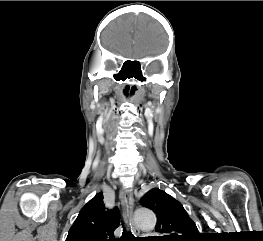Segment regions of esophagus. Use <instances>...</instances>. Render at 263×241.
Segmentation results:
<instances>
[{
    "label": "esophagus",
    "instance_id": "34e87169",
    "mask_svg": "<svg viewBox=\"0 0 263 241\" xmlns=\"http://www.w3.org/2000/svg\"><path fill=\"white\" fill-rule=\"evenodd\" d=\"M120 199L122 202V205L124 207V210L126 211V219L127 222L130 224L133 232L135 234H139L140 231L139 229L135 226L134 221H133V208H134V200L132 195L129 193L127 188L123 187L120 190Z\"/></svg>",
    "mask_w": 263,
    "mask_h": 241
}]
</instances>
